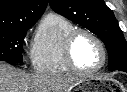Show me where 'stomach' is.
Wrapping results in <instances>:
<instances>
[{"label":"stomach","instance_id":"obj_1","mask_svg":"<svg viewBox=\"0 0 127 92\" xmlns=\"http://www.w3.org/2000/svg\"><path fill=\"white\" fill-rule=\"evenodd\" d=\"M103 85V81L97 77H89L83 79L77 86L76 91L81 92H100V87Z\"/></svg>","mask_w":127,"mask_h":92}]
</instances>
